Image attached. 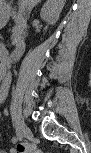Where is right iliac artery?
Instances as JSON below:
<instances>
[{"label":"right iliac artery","mask_w":91,"mask_h":153,"mask_svg":"<svg viewBox=\"0 0 91 153\" xmlns=\"http://www.w3.org/2000/svg\"><path fill=\"white\" fill-rule=\"evenodd\" d=\"M10 111H11V114H12L13 119H14L15 124H16V134H17V138H18L19 140H22V139H23V135H22V133L20 132V130L18 129V127H17V120H16V118H15V110H14L13 108H11Z\"/></svg>","instance_id":"right-iliac-artery-1"}]
</instances>
